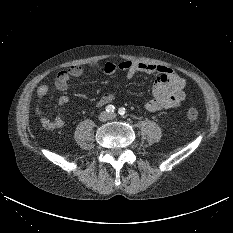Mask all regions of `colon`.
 I'll return each mask as SVG.
<instances>
[{
	"mask_svg": "<svg viewBox=\"0 0 233 233\" xmlns=\"http://www.w3.org/2000/svg\"><path fill=\"white\" fill-rule=\"evenodd\" d=\"M186 115H187V118L191 121H196L198 119V112L193 107L188 108Z\"/></svg>",
	"mask_w": 233,
	"mask_h": 233,
	"instance_id": "colon-1",
	"label": "colon"
}]
</instances>
